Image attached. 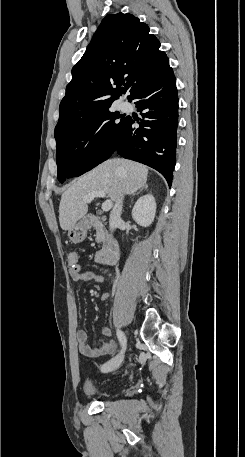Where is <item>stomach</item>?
Masks as SVG:
<instances>
[{
	"label": "stomach",
	"instance_id": "0dacf381",
	"mask_svg": "<svg viewBox=\"0 0 245 457\" xmlns=\"http://www.w3.org/2000/svg\"><path fill=\"white\" fill-rule=\"evenodd\" d=\"M90 229V222L88 220H79L76 224L71 226V229L68 231V237L72 243H82L87 237V231Z\"/></svg>",
	"mask_w": 245,
	"mask_h": 457
}]
</instances>
